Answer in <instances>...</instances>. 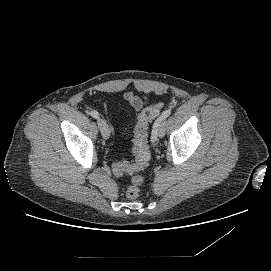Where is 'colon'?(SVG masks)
I'll list each match as a JSON object with an SVG mask.
<instances>
[{"label": "colon", "mask_w": 271, "mask_h": 271, "mask_svg": "<svg viewBox=\"0 0 271 271\" xmlns=\"http://www.w3.org/2000/svg\"><path fill=\"white\" fill-rule=\"evenodd\" d=\"M164 104L157 102L154 105L144 108L139 117L138 123L134 131V162L121 161L113 165L115 175L122 177L127 174H133L147 167L150 160V152L148 146V127L149 124L159 115ZM140 175L131 177V184L126 190V196L129 199H136L140 194V185L142 184Z\"/></svg>", "instance_id": "5ec220e1"}]
</instances>
